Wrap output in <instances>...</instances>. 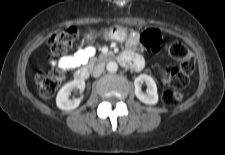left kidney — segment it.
Masks as SVG:
<instances>
[{"label": "left kidney", "instance_id": "left-kidney-1", "mask_svg": "<svg viewBox=\"0 0 225 155\" xmlns=\"http://www.w3.org/2000/svg\"><path fill=\"white\" fill-rule=\"evenodd\" d=\"M145 82L147 85V94L143 93L140 84ZM135 95L143 103L155 105L158 102L157 86L154 79L146 74H141L134 80Z\"/></svg>", "mask_w": 225, "mask_h": 155}]
</instances>
